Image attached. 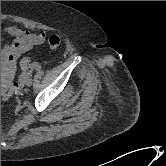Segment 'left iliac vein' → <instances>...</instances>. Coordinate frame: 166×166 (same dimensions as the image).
<instances>
[{
	"label": "left iliac vein",
	"instance_id": "4c4485c4",
	"mask_svg": "<svg viewBox=\"0 0 166 166\" xmlns=\"http://www.w3.org/2000/svg\"><path fill=\"white\" fill-rule=\"evenodd\" d=\"M32 83H33V79L32 78H27L25 80V85L28 86V87H30L32 85Z\"/></svg>",
	"mask_w": 166,
	"mask_h": 166
}]
</instances>
